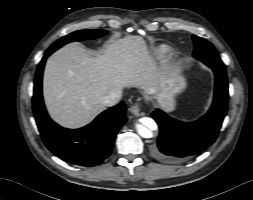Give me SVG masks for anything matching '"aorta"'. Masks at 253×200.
<instances>
[{
	"instance_id": "1",
	"label": "aorta",
	"mask_w": 253,
	"mask_h": 200,
	"mask_svg": "<svg viewBox=\"0 0 253 200\" xmlns=\"http://www.w3.org/2000/svg\"><path fill=\"white\" fill-rule=\"evenodd\" d=\"M152 128H156V123L150 118H145L144 124H137L136 130L143 138H151L153 136Z\"/></svg>"
}]
</instances>
